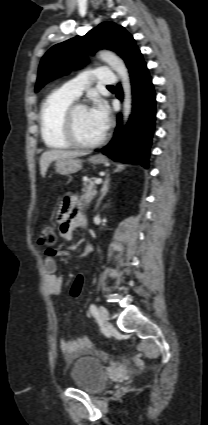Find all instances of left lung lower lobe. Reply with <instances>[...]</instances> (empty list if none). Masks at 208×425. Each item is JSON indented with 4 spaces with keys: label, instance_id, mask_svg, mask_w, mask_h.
I'll use <instances>...</instances> for the list:
<instances>
[{
    "label": "left lung lower lobe",
    "instance_id": "0a47b994",
    "mask_svg": "<svg viewBox=\"0 0 208 425\" xmlns=\"http://www.w3.org/2000/svg\"><path fill=\"white\" fill-rule=\"evenodd\" d=\"M132 92L133 113L127 125L118 127L112 141L100 151L116 161L139 163L148 167L149 148L155 125V93L151 78L142 56L129 68ZM117 98L123 99L120 85L117 86Z\"/></svg>",
    "mask_w": 208,
    "mask_h": 425
}]
</instances>
